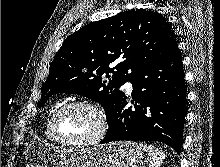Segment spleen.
Here are the masks:
<instances>
[{
	"label": "spleen",
	"mask_w": 220,
	"mask_h": 167,
	"mask_svg": "<svg viewBox=\"0 0 220 167\" xmlns=\"http://www.w3.org/2000/svg\"><path fill=\"white\" fill-rule=\"evenodd\" d=\"M139 148L147 154L146 167H160L162 160L166 157L163 150L146 143H140Z\"/></svg>",
	"instance_id": "spleen-1"
}]
</instances>
